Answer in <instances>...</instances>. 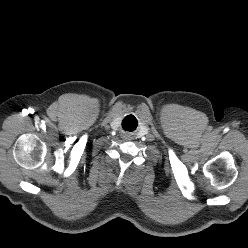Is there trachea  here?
<instances>
[{
	"instance_id": "trachea-1",
	"label": "trachea",
	"mask_w": 248,
	"mask_h": 248,
	"mask_svg": "<svg viewBox=\"0 0 248 248\" xmlns=\"http://www.w3.org/2000/svg\"><path fill=\"white\" fill-rule=\"evenodd\" d=\"M125 119H132V120L134 119L133 120V127L132 128L133 129L136 128V126H137V120L135 119V117H133V116L130 115V116H127ZM125 130H128V129H125Z\"/></svg>"
}]
</instances>
